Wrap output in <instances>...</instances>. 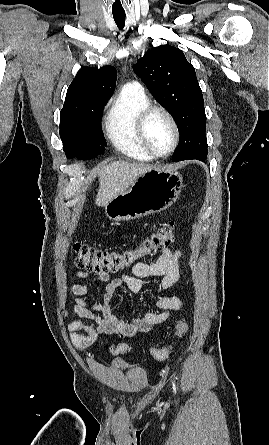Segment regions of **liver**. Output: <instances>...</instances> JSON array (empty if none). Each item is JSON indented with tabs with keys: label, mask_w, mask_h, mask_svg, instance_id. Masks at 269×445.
<instances>
[{
	"label": "liver",
	"mask_w": 269,
	"mask_h": 445,
	"mask_svg": "<svg viewBox=\"0 0 269 445\" xmlns=\"http://www.w3.org/2000/svg\"><path fill=\"white\" fill-rule=\"evenodd\" d=\"M151 165L115 161L98 172L99 189L95 199L98 206L107 205L112 199L126 192L135 180L150 170Z\"/></svg>",
	"instance_id": "6515ba94"
}]
</instances>
